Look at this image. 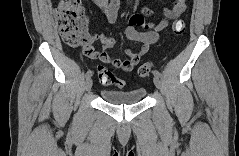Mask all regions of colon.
<instances>
[{
	"label": "colon",
	"instance_id": "1",
	"mask_svg": "<svg viewBox=\"0 0 239 156\" xmlns=\"http://www.w3.org/2000/svg\"><path fill=\"white\" fill-rule=\"evenodd\" d=\"M58 28L64 42L71 47H85L89 42L85 11L79 0H60L55 9ZM185 31V23L176 21L172 26V34L175 37L182 36ZM151 63L143 64L138 69L141 77H146L152 70ZM99 80L104 84L115 85L122 88L124 81L117 79L105 66H99Z\"/></svg>",
	"mask_w": 239,
	"mask_h": 156
}]
</instances>
